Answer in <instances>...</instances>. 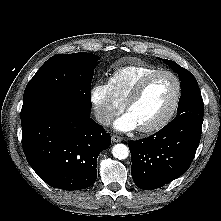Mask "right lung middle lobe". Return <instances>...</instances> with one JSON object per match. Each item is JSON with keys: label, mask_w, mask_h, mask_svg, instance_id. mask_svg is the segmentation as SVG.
<instances>
[{"label": "right lung middle lobe", "mask_w": 221, "mask_h": 221, "mask_svg": "<svg viewBox=\"0 0 221 221\" xmlns=\"http://www.w3.org/2000/svg\"><path fill=\"white\" fill-rule=\"evenodd\" d=\"M99 58L80 52L55 55L48 59L25 88L21 121L42 107L58 103L90 112V87Z\"/></svg>", "instance_id": "dd1d6c3e"}]
</instances>
